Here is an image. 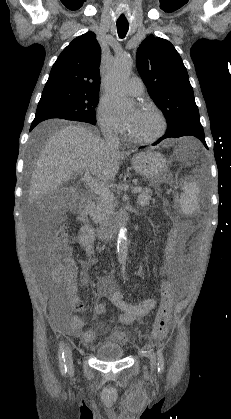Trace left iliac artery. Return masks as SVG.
Instances as JSON below:
<instances>
[{
  "mask_svg": "<svg viewBox=\"0 0 231 419\" xmlns=\"http://www.w3.org/2000/svg\"><path fill=\"white\" fill-rule=\"evenodd\" d=\"M157 354H158V372H162L164 369V357L162 354V350L159 348L157 350Z\"/></svg>",
  "mask_w": 231,
  "mask_h": 419,
  "instance_id": "1",
  "label": "left iliac artery"
}]
</instances>
